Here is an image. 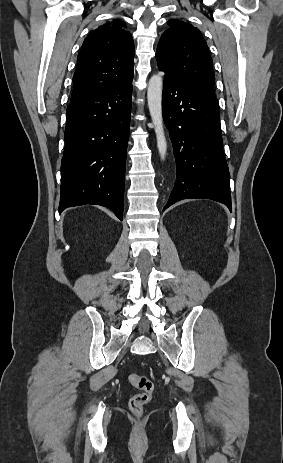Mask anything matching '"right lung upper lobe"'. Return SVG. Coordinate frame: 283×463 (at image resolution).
<instances>
[{
	"instance_id": "1",
	"label": "right lung upper lobe",
	"mask_w": 283,
	"mask_h": 463,
	"mask_svg": "<svg viewBox=\"0 0 283 463\" xmlns=\"http://www.w3.org/2000/svg\"><path fill=\"white\" fill-rule=\"evenodd\" d=\"M119 19L91 31L77 57L71 102L133 78L134 43Z\"/></svg>"
}]
</instances>
